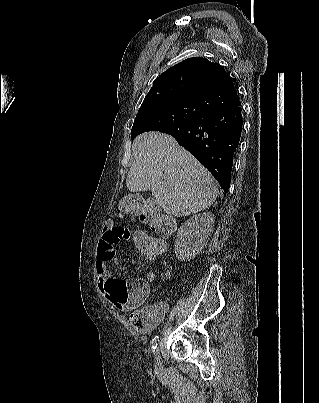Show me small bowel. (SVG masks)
<instances>
[{
	"instance_id": "c3829d8e",
	"label": "small bowel",
	"mask_w": 319,
	"mask_h": 403,
	"mask_svg": "<svg viewBox=\"0 0 319 403\" xmlns=\"http://www.w3.org/2000/svg\"><path fill=\"white\" fill-rule=\"evenodd\" d=\"M132 235V229H127L125 224H106L105 229H100L95 270L98 285L103 289L102 296L108 297L111 309H118L119 315H123L127 328L132 329V334L150 335L166 315L169 303L160 301L146 305L151 286L146 285L145 279H117L111 276L108 266L115 254L120 253L122 238H132ZM155 279L154 272H149L146 276L148 283L154 282Z\"/></svg>"
}]
</instances>
